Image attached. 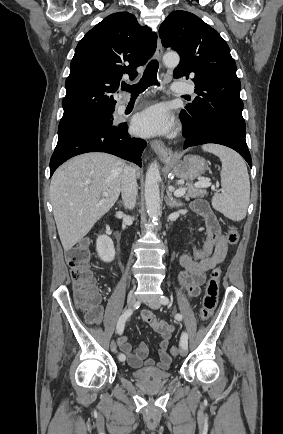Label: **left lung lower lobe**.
I'll use <instances>...</instances> for the list:
<instances>
[{"label": "left lung lower lobe", "mask_w": 283, "mask_h": 434, "mask_svg": "<svg viewBox=\"0 0 283 434\" xmlns=\"http://www.w3.org/2000/svg\"><path fill=\"white\" fill-rule=\"evenodd\" d=\"M183 136L185 137L184 149L207 143L224 145L237 151L252 167L245 129L228 123H213L191 134L183 129Z\"/></svg>", "instance_id": "0a47b994"}]
</instances>
